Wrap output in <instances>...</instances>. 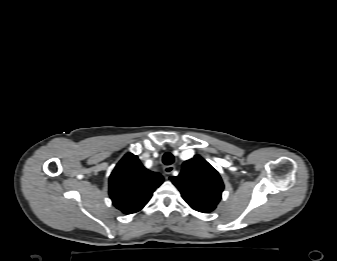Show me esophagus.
Returning a JSON list of instances; mask_svg holds the SVG:
<instances>
[{
    "label": "esophagus",
    "instance_id": "obj_1",
    "mask_svg": "<svg viewBox=\"0 0 337 261\" xmlns=\"http://www.w3.org/2000/svg\"><path fill=\"white\" fill-rule=\"evenodd\" d=\"M163 170L166 175H170L175 170V166L174 165L165 166Z\"/></svg>",
    "mask_w": 337,
    "mask_h": 261
}]
</instances>
